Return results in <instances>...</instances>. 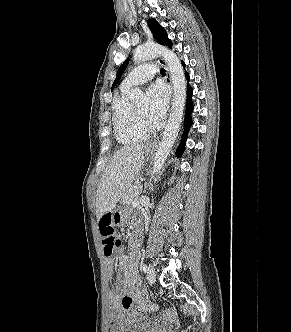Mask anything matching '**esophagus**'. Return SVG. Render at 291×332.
Returning <instances> with one entry per match:
<instances>
[{
    "label": "esophagus",
    "instance_id": "1",
    "mask_svg": "<svg viewBox=\"0 0 291 332\" xmlns=\"http://www.w3.org/2000/svg\"><path fill=\"white\" fill-rule=\"evenodd\" d=\"M158 62L161 63L162 65H164V67H165V69H166V81L169 83V85H170L171 88L173 89L171 75H170L169 69H168V67H167V65H166V62L164 61L163 58H159V59H158ZM158 140H159V139L154 140L153 142H151V143L149 144V148H154V147H156L157 144H158Z\"/></svg>",
    "mask_w": 291,
    "mask_h": 332
}]
</instances>
